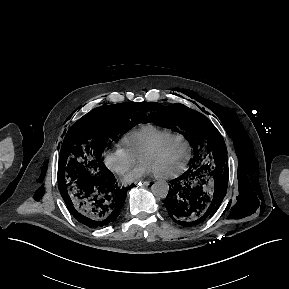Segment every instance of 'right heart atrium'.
<instances>
[{
    "mask_svg": "<svg viewBox=\"0 0 289 289\" xmlns=\"http://www.w3.org/2000/svg\"><path fill=\"white\" fill-rule=\"evenodd\" d=\"M103 161L113 173L124 175L137 163L138 157L125 146L119 144L115 148L104 151Z\"/></svg>",
    "mask_w": 289,
    "mask_h": 289,
    "instance_id": "obj_1",
    "label": "right heart atrium"
}]
</instances>
